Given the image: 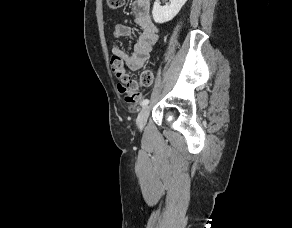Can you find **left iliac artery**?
Segmentation results:
<instances>
[{
    "mask_svg": "<svg viewBox=\"0 0 292 228\" xmlns=\"http://www.w3.org/2000/svg\"><path fill=\"white\" fill-rule=\"evenodd\" d=\"M149 103V99H144L142 102H141V105L142 106H145Z\"/></svg>",
    "mask_w": 292,
    "mask_h": 228,
    "instance_id": "44dca946",
    "label": "left iliac artery"
}]
</instances>
